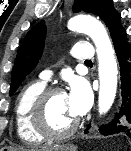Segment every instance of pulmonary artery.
I'll return each instance as SVG.
<instances>
[{
    "label": "pulmonary artery",
    "mask_w": 131,
    "mask_h": 151,
    "mask_svg": "<svg viewBox=\"0 0 131 151\" xmlns=\"http://www.w3.org/2000/svg\"><path fill=\"white\" fill-rule=\"evenodd\" d=\"M71 55L78 61L85 62L91 60L94 57L93 46L89 42L80 41L75 43L71 48ZM51 72L46 70L42 72L41 79L46 82L50 79Z\"/></svg>",
    "instance_id": "obj_1"
}]
</instances>
